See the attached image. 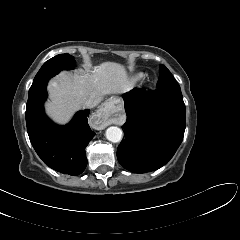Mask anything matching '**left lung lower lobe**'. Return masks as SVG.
Here are the masks:
<instances>
[{"label": "left lung lower lobe", "mask_w": 240, "mask_h": 240, "mask_svg": "<svg viewBox=\"0 0 240 240\" xmlns=\"http://www.w3.org/2000/svg\"><path fill=\"white\" fill-rule=\"evenodd\" d=\"M127 121L117 149L119 163L133 173L157 170L180 146L185 104L180 88L134 89L124 95Z\"/></svg>", "instance_id": "1"}]
</instances>
